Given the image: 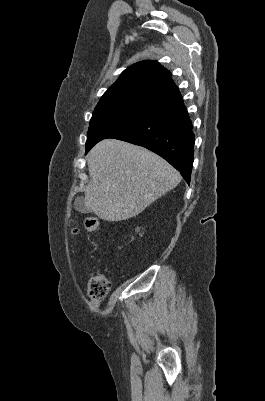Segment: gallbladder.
Segmentation results:
<instances>
[{"label":"gallbladder","instance_id":"gallbladder-1","mask_svg":"<svg viewBox=\"0 0 265 401\" xmlns=\"http://www.w3.org/2000/svg\"><path fill=\"white\" fill-rule=\"evenodd\" d=\"M74 209L79 211V213H92L91 209L85 207L84 196H77V198H75Z\"/></svg>","mask_w":265,"mask_h":401}]
</instances>
